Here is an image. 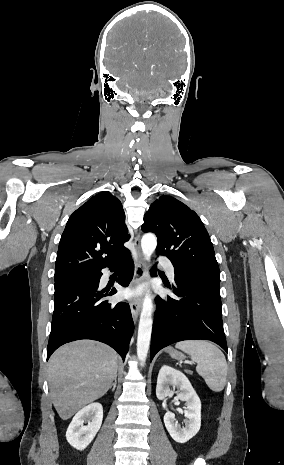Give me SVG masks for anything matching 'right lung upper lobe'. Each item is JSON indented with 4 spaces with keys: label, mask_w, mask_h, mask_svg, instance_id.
Wrapping results in <instances>:
<instances>
[{
    "label": "right lung upper lobe",
    "mask_w": 284,
    "mask_h": 465,
    "mask_svg": "<svg viewBox=\"0 0 284 465\" xmlns=\"http://www.w3.org/2000/svg\"><path fill=\"white\" fill-rule=\"evenodd\" d=\"M125 213L110 192L98 193L69 218L59 242L55 281L96 275L128 251Z\"/></svg>",
    "instance_id": "right-lung-upper-lobe-1"
}]
</instances>
